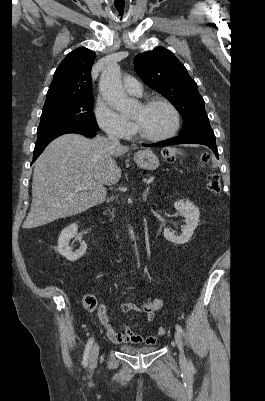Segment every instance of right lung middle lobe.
Here are the masks:
<instances>
[{"mask_svg": "<svg viewBox=\"0 0 265 401\" xmlns=\"http://www.w3.org/2000/svg\"><path fill=\"white\" fill-rule=\"evenodd\" d=\"M93 96L78 97L44 105L37 135L55 128L98 131L93 113Z\"/></svg>", "mask_w": 265, "mask_h": 401, "instance_id": "right-lung-middle-lobe-1", "label": "right lung middle lobe"}]
</instances>
